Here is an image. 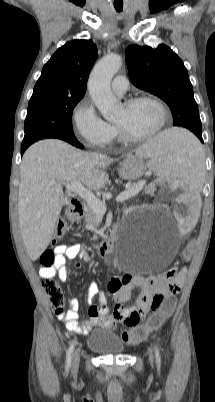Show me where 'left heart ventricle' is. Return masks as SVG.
I'll return each instance as SVG.
<instances>
[{
  "instance_id": "b2bd125f",
  "label": "left heart ventricle",
  "mask_w": 215,
  "mask_h": 402,
  "mask_svg": "<svg viewBox=\"0 0 215 402\" xmlns=\"http://www.w3.org/2000/svg\"><path fill=\"white\" fill-rule=\"evenodd\" d=\"M160 119L159 108L152 102L142 101L130 107L122 105L116 123L121 124L134 136H143L155 130Z\"/></svg>"
}]
</instances>
